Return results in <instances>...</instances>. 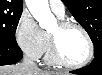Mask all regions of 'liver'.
Wrapping results in <instances>:
<instances>
[{
	"mask_svg": "<svg viewBox=\"0 0 102 75\" xmlns=\"http://www.w3.org/2000/svg\"><path fill=\"white\" fill-rule=\"evenodd\" d=\"M0 75H60L54 72H48L40 70L39 68L34 70L27 68L21 63L15 65H6L0 68Z\"/></svg>",
	"mask_w": 102,
	"mask_h": 75,
	"instance_id": "1",
	"label": "liver"
}]
</instances>
